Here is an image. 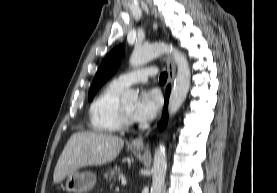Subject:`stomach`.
<instances>
[{
  "mask_svg": "<svg viewBox=\"0 0 277 193\" xmlns=\"http://www.w3.org/2000/svg\"><path fill=\"white\" fill-rule=\"evenodd\" d=\"M140 151L141 148H136ZM96 182V175L92 172H74L67 176L65 188L69 193H87Z\"/></svg>",
  "mask_w": 277,
  "mask_h": 193,
  "instance_id": "stomach-1",
  "label": "stomach"
}]
</instances>
